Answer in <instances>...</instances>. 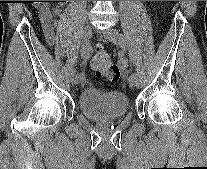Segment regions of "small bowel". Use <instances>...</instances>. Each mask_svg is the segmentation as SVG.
I'll list each match as a JSON object with an SVG mask.
<instances>
[{
  "mask_svg": "<svg viewBox=\"0 0 207 169\" xmlns=\"http://www.w3.org/2000/svg\"><path fill=\"white\" fill-rule=\"evenodd\" d=\"M59 11V8H56L55 12L59 13ZM38 17L47 43L49 45H53L55 43L54 28L56 26V22L52 19L51 11L48 8L43 7L39 10Z\"/></svg>",
  "mask_w": 207,
  "mask_h": 169,
  "instance_id": "1",
  "label": "small bowel"
}]
</instances>
